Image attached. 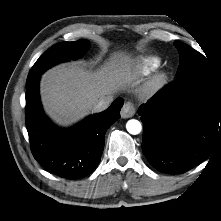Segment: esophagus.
I'll return each mask as SVG.
<instances>
[{"mask_svg": "<svg viewBox=\"0 0 221 221\" xmlns=\"http://www.w3.org/2000/svg\"><path fill=\"white\" fill-rule=\"evenodd\" d=\"M136 112L135 104L132 102H126L121 110L122 118H130Z\"/></svg>", "mask_w": 221, "mask_h": 221, "instance_id": "1", "label": "esophagus"}]
</instances>
